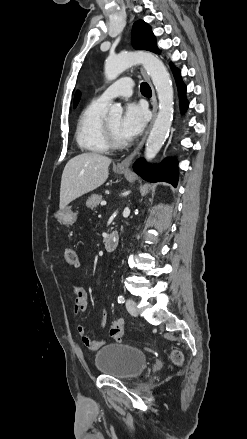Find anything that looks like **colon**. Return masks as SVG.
Returning a JSON list of instances; mask_svg holds the SVG:
<instances>
[{
  "mask_svg": "<svg viewBox=\"0 0 247 439\" xmlns=\"http://www.w3.org/2000/svg\"><path fill=\"white\" fill-rule=\"evenodd\" d=\"M65 261L70 266H77L78 264V256L74 249L69 248L65 251ZM111 337L115 339H121L124 335V325L123 321L119 318L114 319L110 329ZM171 359L174 363L180 364L182 362V354L180 351L175 350L171 354Z\"/></svg>",
  "mask_w": 247,
  "mask_h": 439,
  "instance_id": "colon-1",
  "label": "colon"
}]
</instances>
